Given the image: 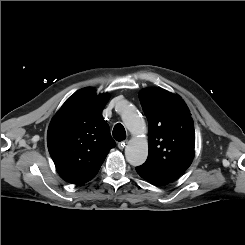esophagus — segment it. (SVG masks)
I'll return each instance as SVG.
<instances>
[{
    "mask_svg": "<svg viewBox=\"0 0 245 245\" xmlns=\"http://www.w3.org/2000/svg\"><path fill=\"white\" fill-rule=\"evenodd\" d=\"M127 145V141H121L118 143V148L123 150L125 148V146Z\"/></svg>",
    "mask_w": 245,
    "mask_h": 245,
    "instance_id": "obj_1",
    "label": "esophagus"
}]
</instances>
